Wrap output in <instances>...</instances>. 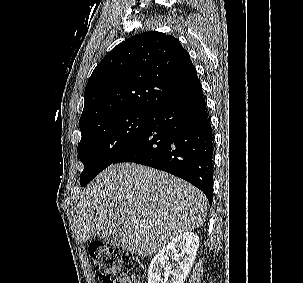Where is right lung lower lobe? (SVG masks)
Here are the masks:
<instances>
[{
	"label": "right lung lower lobe",
	"mask_w": 303,
	"mask_h": 283,
	"mask_svg": "<svg viewBox=\"0 0 303 283\" xmlns=\"http://www.w3.org/2000/svg\"><path fill=\"white\" fill-rule=\"evenodd\" d=\"M135 162L178 176L213 201V134L199 83L154 112L143 134L113 163Z\"/></svg>",
	"instance_id": "1"
}]
</instances>
